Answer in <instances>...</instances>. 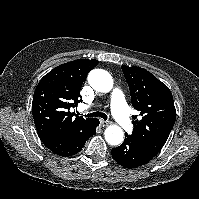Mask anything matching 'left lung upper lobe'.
<instances>
[{
	"label": "left lung upper lobe",
	"instance_id": "obj_1",
	"mask_svg": "<svg viewBox=\"0 0 199 199\" xmlns=\"http://www.w3.org/2000/svg\"><path fill=\"white\" fill-rule=\"evenodd\" d=\"M121 68L129 85L132 105L142 116L141 120L134 121L133 133L129 136L159 152L176 119L172 93L164 83L143 68Z\"/></svg>",
	"mask_w": 199,
	"mask_h": 199
}]
</instances>
